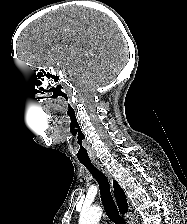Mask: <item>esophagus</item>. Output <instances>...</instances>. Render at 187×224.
<instances>
[{"label":"esophagus","instance_id":"1","mask_svg":"<svg viewBox=\"0 0 187 224\" xmlns=\"http://www.w3.org/2000/svg\"><path fill=\"white\" fill-rule=\"evenodd\" d=\"M93 163L97 168H99L100 170L103 171V173L108 177V179L110 180V182L112 184V177H111L109 171L101 163H99L97 161H95Z\"/></svg>","mask_w":187,"mask_h":224}]
</instances>
